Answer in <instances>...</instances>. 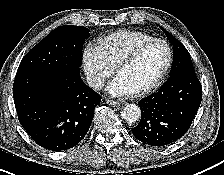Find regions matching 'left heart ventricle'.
I'll list each match as a JSON object with an SVG mask.
<instances>
[{
  "instance_id": "left-heart-ventricle-1",
  "label": "left heart ventricle",
  "mask_w": 224,
  "mask_h": 175,
  "mask_svg": "<svg viewBox=\"0 0 224 175\" xmlns=\"http://www.w3.org/2000/svg\"><path fill=\"white\" fill-rule=\"evenodd\" d=\"M167 59L166 47L161 43L148 46L130 65L124 67L118 76L133 91L150 84L160 73Z\"/></svg>"
}]
</instances>
